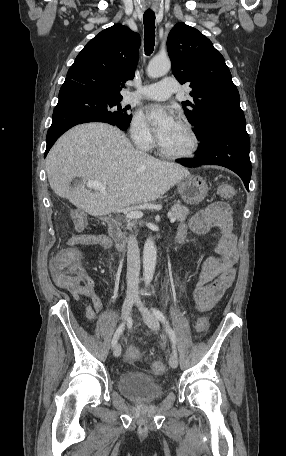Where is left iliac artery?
<instances>
[{
    "label": "left iliac artery",
    "instance_id": "obj_1",
    "mask_svg": "<svg viewBox=\"0 0 286 456\" xmlns=\"http://www.w3.org/2000/svg\"><path fill=\"white\" fill-rule=\"evenodd\" d=\"M152 311H153V314L156 316V318L159 319L162 323L165 324V326H166V331H167V333L169 334V337H170V339H171V342L173 343V352H174L175 355H177L176 347H175L176 335H175L174 331L172 330V328L169 326L168 321L166 320L165 315L163 314L162 311H160V310L157 309V308H152Z\"/></svg>",
    "mask_w": 286,
    "mask_h": 456
}]
</instances>
